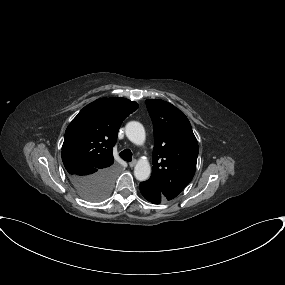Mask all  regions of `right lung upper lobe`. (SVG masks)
I'll list each match as a JSON object with an SVG mask.
<instances>
[{
  "label": "right lung upper lobe",
  "mask_w": 285,
  "mask_h": 285,
  "mask_svg": "<svg viewBox=\"0 0 285 285\" xmlns=\"http://www.w3.org/2000/svg\"><path fill=\"white\" fill-rule=\"evenodd\" d=\"M138 109L126 98H100L85 106L69 124L62 160L70 175L93 173L113 164L112 149L122 121Z\"/></svg>",
  "instance_id": "obj_1"
}]
</instances>
